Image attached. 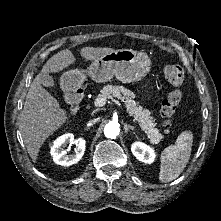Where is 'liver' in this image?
Returning a JSON list of instances; mask_svg holds the SVG:
<instances>
[{"mask_svg": "<svg viewBox=\"0 0 221 221\" xmlns=\"http://www.w3.org/2000/svg\"><path fill=\"white\" fill-rule=\"evenodd\" d=\"M112 51L114 49L107 47H83L80 55L86 61H90ZM75 62L76 59L70 50L58 52L45 63L29 87L21 115L20 131L33 162L37 161L45 140L69 119L66 110L41 86V77L43 74L58 73Z\"/></svg>", "mask_w": 221, "mask_h": 221, "instance_id": "6515ba94", "label": "liver"}]
</instances>
